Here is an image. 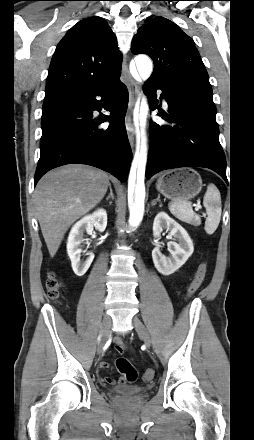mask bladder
Returning a JSON list of instances; mask_svg holds the SVG:
<instances>
[{
    "instance_id": "bladder-1",
    "label": "bladder",
    "mask_w": 254,
    "mask_h": 440,
    "mask_svg": "<svg viewBox=\"0 0 254 440\" xmlns=\"http://www.w3.org/2000/svg\"><path fill=\"white\" fill-rule=\"evenodd\" d=\"M146 390L145 386H116L111 389V391L117 395H136Z\"/></svg>"
}]
</instances>
